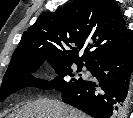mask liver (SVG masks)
<instances>
[{"label":"liver","instance_id":"obj_1","mask_svg":"<svg viewBox=\"0 0 133 118\" xmlns=\"http://www.w3.org/2000/svg\"><path fill=\"white\" fill-rule=\"evenodd\" d=\"M8 118H89L80 110L47 98L27 102Z\"/></svg>","mask_w":133,"mask_h":118}]
</instances>
